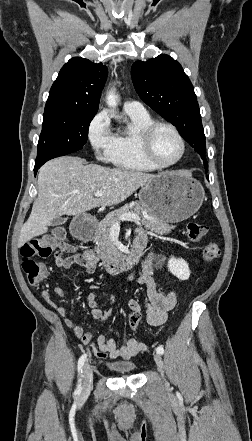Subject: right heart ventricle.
I'll return each mask as SVG.
<instances>
[{"label":"right heart ventricle","instance_id":"obj_1","mask_svg":"<svg viewBox=\"0 0 252 441\" xmlns=\"http://www.w3.org/2000/svg\"><path fill=\"white\" fill-rule=\"evenodd\" d=\"M127 115L130 119V127L115 134L116 150L113 162L117 167L126 170L155 171L157 168L144 158L139 144L141 131L154 120L147 112L144 114L127 113Z\"/></svg>","mask_w":252,"mask_h":441}]
</instances>
